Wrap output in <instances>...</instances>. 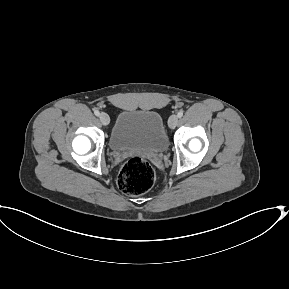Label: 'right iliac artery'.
<instances>
[{"label": "right iliac artery", "instance_id": "82829eb1", "mask_svg": "<svg viewBox=\"0 0 289 289\" xmlns=\"http://www.w3.org/2000/svg\"><path fill=\"white\" fill-rule=\"evenodd\" d=\"M94 114H95L96 116H99V115H100L99 110H98V109H94Z\"/></svg>", "mask_w": 289, "mask_h": 289}]
</instances>
